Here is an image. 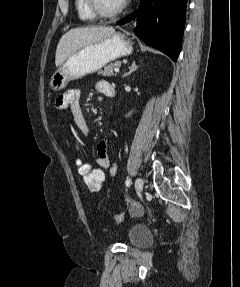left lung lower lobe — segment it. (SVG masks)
Returning a JSON list of instances; mask_svg holds the SVG:
<instances>
[{"mask_svg": "<svg viewBox=\"0 0 240 287\" xmlns=\"http://www.w3.org/2000/svg\"><path fill=\"white\" fill-rule=\"evenodd\" d=\"M187 0H141L137 10L117 22L135 19L134 33L176 61L182 44Z\"/></svg>", "mask_w": 240, "mask_h": 287, "instance_id": "1", "label": "left lung lower lobe"}]
</instances>
